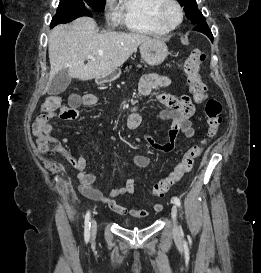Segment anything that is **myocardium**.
<instances>
[{
	"label": "myocardium",
	"mask_w": 261,
	"mask_h": 273,
	"mask_svg": "<svg viewBox=\"0 0 261 273\" xmlns=\"http://www.w3.org/2000/svg\"><path fill=\"white\" fill-rule=\"evenodd\" d=\"M169 6L175 7L178 11V20L174 24H169L164 18L165 10ZM155 18L163 28L168 31H172L179 27L180 24L183 22L184 10L177 0H160V3L157 5L155 10Z\"/></svg>",
	"instance_id": "1"
}]
</instances>
